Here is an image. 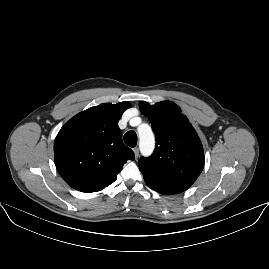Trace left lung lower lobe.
<instances>
[{
    "label": "left lung lower lobe",
    "instance_id": "left-lung-lower-lobe-1",
    "mask_svg": "<svg viewBox=\"0 0 269 269\" xmlns=\"http://www.w3.org/2000/svg\"><path fill=\"white\" fill-rule=\"evenodd\" d=\"M144 180L151 189L164 195L181 193L189 188L186 185L163 183L149 178H144Z\"/></svg>",
    "mask_w": 269,
    "mask_h": 269
}]
</instances>
